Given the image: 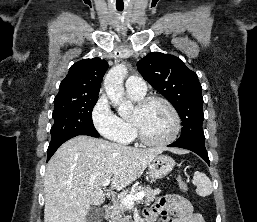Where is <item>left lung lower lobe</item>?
I'll use <instances>...</instances> for the list:
<instances>
[{
	"label": "left lung lower lobe",
	"mask_w": 257,
	"mask_h": 222,
	"mask_svg": "<svg viewBox=\"0 0 257 222\" xmlns=\"http://www.w3.org/2000/svg\"><path fill=\"white\" fill-rule=\"evenodd\" d=\"M168 147H179V148L191 150L196 154H198L202 159H204L208 165H210L207 150L205 148V141H187V142L176 141L168 145Z\"/></svg>",
	"instance_id": "left-lung-lower-lobe-1"
}]
</instances>
